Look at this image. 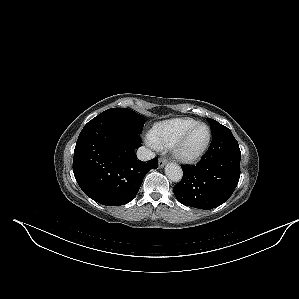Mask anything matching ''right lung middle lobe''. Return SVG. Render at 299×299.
<instances>
[{
	"mask_svg": "<svg viewBox=\"0 0 299 299\" xmlns=\"http://www.w3.org/2000/svg\"><path fill=\"white\" fill-rule=\"evenodd\" d=\"M99 116L116 118L130 126L138 134H141L145 123V119L141 115L127 108H111L102 112Z\"/></svg>",
	"mask_w": 299,
	"mask_h": 299,
	"instance_id": "right-lung-middle-lobe-1",
	"label": "right lung middle lobe"
}]
</instances>
